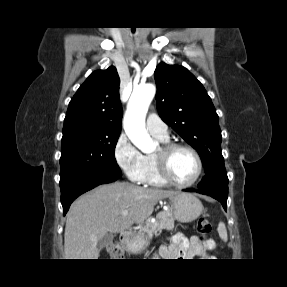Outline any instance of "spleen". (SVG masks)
I'll return each instance as SVG.
<instances>
[{"label": "spleen", "mask_w": 287, "mask_h": 287, "mask_svg": "<svg viewBox=\"0 0 287 287\" xmlns=\"http://www.w3.org/2000/svg\"><path fill=\"white\" fill-rule=\"evenodd\" d=\"M217 230H218L220 238L224 242H227V240H228L227 230H226V226L223 222H219Z\"/></svg>", "instance_id": "spleen-1"}]
</instances>
